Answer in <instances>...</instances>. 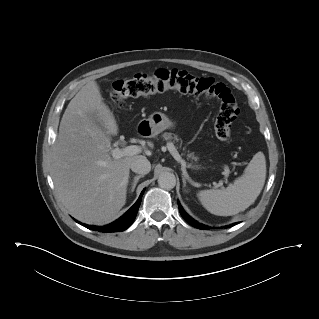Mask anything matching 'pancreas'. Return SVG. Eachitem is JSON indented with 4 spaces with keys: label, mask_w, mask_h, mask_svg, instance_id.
<instances>
[{
    "label": "pancreas",
    "mask_w": 319,
    "mask_h": 319,
    "mask_svg": "<svg viewBox=\"0 0 319 319\" xmlns=\"http://www.w3.org/2000/svg\"><path fill=\"white\" fill-rule=\"evenodd\" d=\"M162 137L166 140V141H172V142H178L180 141L181 139L178 138L177 135L173 134V133H168V132H165L163 133ZM187 159H191V160H194V161H198L199 157L195 156V153L194 152H191V153H188L187 154Z\"/></svg>",
    "instance_id": "pancreas-1"
}]
</instances>
